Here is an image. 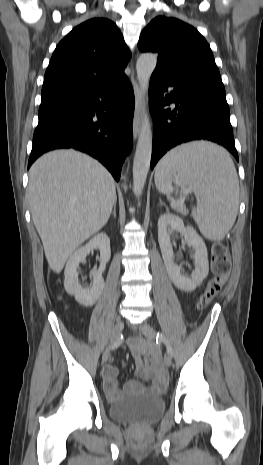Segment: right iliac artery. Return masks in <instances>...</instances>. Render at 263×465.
Instances as JSON below:
<instances>
[{"mask_svg":"<svg viewBox=\"0 0 263 465\" xmlns=\"http://www.w3.org/2000/svg\"><path fill=\"white\" fill-rule=\"evenodd\" d=\"M123 342V337H119V339L110 347V349H115L117 347H119Z\"/></svg>","mask_w":263,"mask_h":465,"instance_id":"1","label":"right iliac artery"}]
</instances>
